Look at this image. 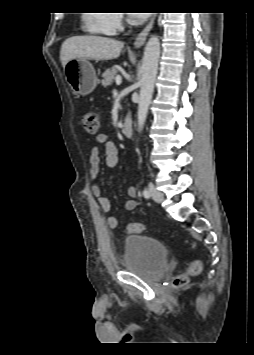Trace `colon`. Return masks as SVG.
<instances>
[{
    "instance_id": "obj_1",
    "label": "colon",
    "mask_w": 254,
    "mask_h": 355,
    "mask_svg": "<svg viewBox=\"0 0 254 355\" xmlns=\"http://www.w3.org/2000/svg\"><path fill=\"white\" fill-rule=\"evenodd\" d=\"M82 125L88 134L94 135L100 127L99 116L95 112H87L82 117ZM145 230L142 223H130L126 226L128 234H138ZM202 264L200 261H193L188 266L185 273L176 276L173 280L174 287H182L188 283L189 277L197 275L201 272Z\"/></svg>"
}]
</instances>
